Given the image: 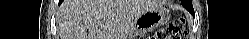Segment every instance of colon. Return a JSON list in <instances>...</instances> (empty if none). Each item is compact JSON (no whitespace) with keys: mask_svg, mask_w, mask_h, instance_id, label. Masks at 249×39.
<instances>
[{"mask_svg":"<svg viewBox=\"0 0 249 39\" xmlns=\"http://www.w3.org/2000/svg\"><path fill=\"white\" fill-rule=\"evenodd\" d=\"M187 37L186 19L180 17L176 21L158 29L155 34L147 37V39H186Z\"/></svg>","mask_w":249,"mask_h":39,"instance_id":"obj_1","label":"colon"}]
</instances>
